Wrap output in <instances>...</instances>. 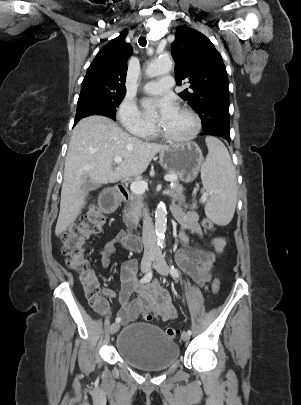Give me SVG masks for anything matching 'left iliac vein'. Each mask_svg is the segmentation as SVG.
Listing matches in <instances>:
<instances>
[{
  "mask_svg": "<svg viewBox=\"0 0 301 405\" xmlns=\"http://www.w3.org/2000/svg\"><path fill=\"white\" fill-rule=\"evenodd\" d=\"M156 258H157V261L154 263V267H155L156 271L163 276L168 275L169 267H168L167 263L165 262L160 251H158L156 253ZM181 338H182V340L187 341V340H189L190 335L184 331L181 335Z\"/></svg>",
  "mask_w": 301,
  "mask_h": 405,
  "instance_id": "obj_1",
  "label": "left iliac vein"
}]
</instances>
